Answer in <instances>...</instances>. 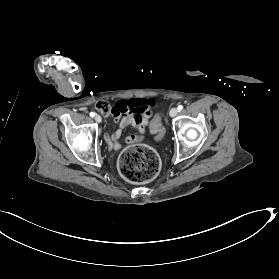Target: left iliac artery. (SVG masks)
I'll return each instance as SVG.
<instances>
[{
	"instance_id": "left-iliac-artery-1",
	"label": "left iliac artery",
	"mask_w": 279,
	"mask_h": 279,
	"mask_svg": "<svg viewBox=\"0 0 279 279\" xmlns=\"http://www.w3.org/2000/svg\"><path fill=\"white\" fill-rule=\"evenodd\" d=\"M183 109V106L182 105H179L178 106V110H182Z\"/></svg>"
}]
</instances>
